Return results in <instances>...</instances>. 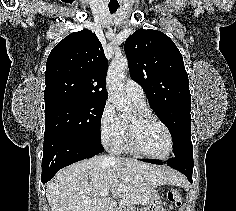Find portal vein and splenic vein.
<instances>
[{
  "label": "portal vein and splenic vein",
  "mask_w": 236,
  "mask_h": 211,
  "mask_svg": "<svg viewBox=\"0 0 236 211\" xmlns=\"http://www.w3.org/2000/svg\"><path fill=\"white\" fill-rule=\"evenodd\" d=\"M101 196L102 197H108L109 196V192L106 190L104 192H101Z\"/></svg>",
  "instance_id": "1"
}]
</instances>
